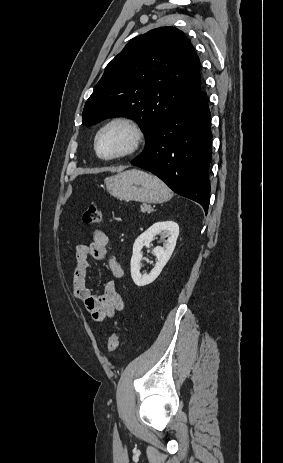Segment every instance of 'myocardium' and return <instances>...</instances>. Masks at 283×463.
I'll return each mask as SVG.
<instances>
[{"label": "myocardium", "mask_w": 283, "mask_h": 463, "mask_svg": "<svg viewBox=\"0 0 283 463\" xmlns=\"http://www.w3.org/2000/svg\"><path fill=\"white\" fill-rule=\"evenodd\" d=\"M114 126H123L129 130V132L131 133L130 144L122 152H119L112 156H102L98 150L99 138L106 130ZM143 143H144V133H143L141 126L139 125L137 121L129 117H115L107 121L96 132L95 137H94V151L96 155L98 156V158H100L101 160L113 161V160L126 158V157H129L135 154L142 147Z\"/></svg>", "instance_id": "1"}]
</instances>
